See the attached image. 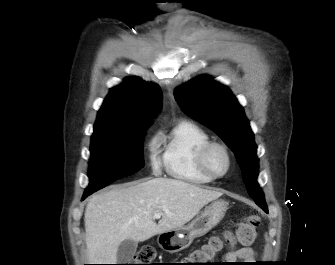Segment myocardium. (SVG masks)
Segmentation results:
<instances>
[{
  "mask_svg": "<svg viewBox=\"0 0 335 265\" xmlns=\"http://www.w3.org/2000/svg\"><path fill=\"white\" fill-rule=\"evenodd\" d=\"M214 149H220L225 154L226 160H227L226 169L223 173H220V174L215 173L208 164L209 154ZM232 164H233V159H232V154L230 152V149L221 142L210 141L206 143L201 148L199 155H198V165L200 169L202 170L203 173H205L207 176H209L212 179H220L226 176L230 172L232 168Z\"/></svg>",
  "mask_w": 335,
  "mask_h": 265,
  "instance_id": "1",
  "label": "myocardium"
}]
</instances>
